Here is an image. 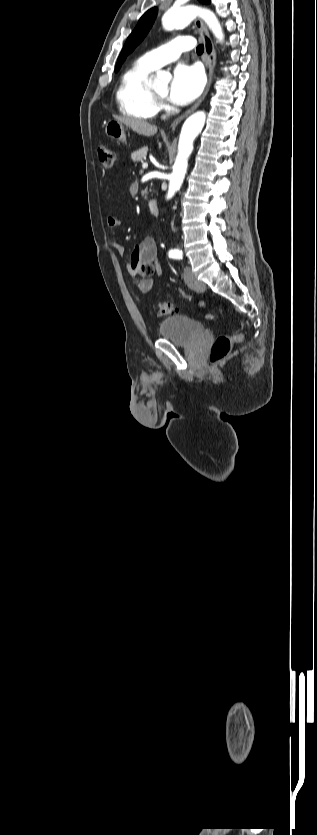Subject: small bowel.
<instances>
[{"mask_svg":"<svg viewBox=\"0 0 317 835\" xmlns=\"http://www.w3.org/2000/svg\"><path fill=\"white\" fill-rule=\"evenodd\" d=\"M107 225L109 228L115 229L121 225V220L116 216H109L107 218ZM110 243L119 255L124 256L126 254V250L122 244L118 243L112 238H110ZM142 262L152 263L154 266L153 274L155 273L157 276H161L162 269L157 261V244L153 238H144L132 250L129 256L128 266V271L132 276L139 273L138 267ZM152 275H141V280L138 287L142 292H147L150 290L152 286Z\"/></svg>","mask_w":317,"mask_h":835,"instance_id":"obj_1","label":"small bowel"}]
</instances>
